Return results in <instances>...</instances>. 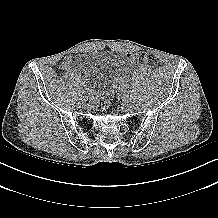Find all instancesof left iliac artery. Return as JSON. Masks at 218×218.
I'll list each match as a JSON object with an SVG mask.
<instances>
[{
	"label": "left iliac artery",
	"instance_id": "obj_1",
	"mask_svg": "<svg viewBox=\"0 0 218 218\" xmlns=\"http://www.w3.org/2000/svg\"><path fill=\"white\" fill-rule=\"evenodd\" d=\"M126 97L129 98L130 100H132L134 98L130 93H127Z\"/></svg>",
	"mask_w": 218,
	"mask_h": 218
}]
</instances>
